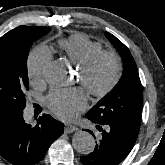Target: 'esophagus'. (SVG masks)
<instances>
[{"label": "esophagus", "mask_w": 165, "mask_h": 165, "mask_svg": "<svg viewBox=\"0 0 165 165\" xmlns=\"http://www.w3.org/2000/svg\"><path fill=\"white\" fill-rule=\"evenodd\" d=\"M77 130V127L74 125L66 124L65 125V132L66 133H72Z\"/></svg>", "instance_id": "1"}]
</instances>
